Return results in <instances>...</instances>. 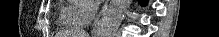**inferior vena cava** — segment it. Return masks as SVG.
I'll return each instance as SVG.
<instances>
[{
	"label": "inferior vena cava",
	"instance_id": "obj_1",
	"mask_svg": "<svg viewBox=\"0 0 219 37\" xmlns=\"http://www.w3.org/2000/svg\"><path fill=\"white\" fill-rule=\"evenodd\" d=\"M97 13V7H93V14L95 15Z\"/></svg>",
	"mask_w": 219,
	"mask_h": 37
}]
</instances>
